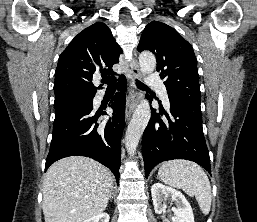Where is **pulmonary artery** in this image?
Returning <instances> with one entry per match:
<instances>
[{
  "mask_svg": "<svg viewBox=\"0 0 257 222\" xmlns=\"http://www.w3.org/2000/svg\"><path fill=\"white\" fill-rule=\"evenodd\" d=\"M147 83L158 89L160 96L162 97L164 103L166 106H169V100L167 96L166 88L163 84V82L154 74H149L146 78Z\"/></svg>",
  "mask_w": 257,
  "mask_h": 222,
  "instance_id": "pulmonary-artery-1",
  "label": "pulmonary artery"
}]
</instances>
